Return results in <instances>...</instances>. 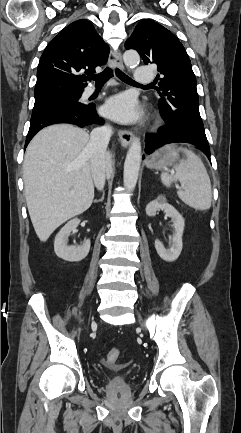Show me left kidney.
Returning <instances> with one entry per match:
<instances>
[{
  "mask_svg": "<svg viewBox=\"0 0 241 433\" xmlns=\"http://www.w3.org/2000/svg\"><path fill=\"white\" fill-rule=\"evenodd\" d=\"M157 210H163L173 222L174 234L170 248L166 249L164 245L158 240H155V248L158 255L166 262H174L182 251V235L184 231V219L180 213L170 204L166 202L164 196H159L156 200L151 201L146 206V214L149 217L156 215Z\"/></svg>",
  "mask_w": 241,
  "mask_h": 433,
  "instance_id": "1",
  "label": "left kidney"
}]
</instances>
